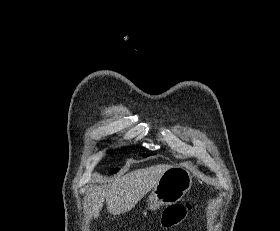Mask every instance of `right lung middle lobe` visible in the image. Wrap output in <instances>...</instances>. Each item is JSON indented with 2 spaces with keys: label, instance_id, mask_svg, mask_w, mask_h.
<instances>
[{
  "label": "right lung middle lobe",
  "instance_id": "1",
  "mask_svg": "<svg viewBox=\"0 0 280 231\" xmlns=\"http://www.w3.org/2000/svg\"><path fill=\"white\" fill-rule=\"evenodd\" d=\"M141 156L145 158V157H147L149 155L148 154H142ZM117 171H118V169H115V170L112 171V173H116Z\"/></svg>",
  "mask_w": 280,
  "mask_h": 231
}]
</instances>
